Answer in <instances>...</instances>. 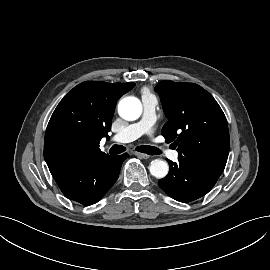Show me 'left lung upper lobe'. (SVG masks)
I'll use <instances>...</instances> for the list:
<instances>
[{"instance_id":"obj_1","label":"left lung upper lobe","mask_w":270,"mask_h":270,"mask_svg":"<svg viewBox=\"0 0 270 270\" xmlns=\"http://www.w3.org/2000/svg\"><path fill=\"white\" fill-rule=\"evenodd\" d=\"M167 123L162 135L179 156L225 168L229 154L226 117L213 96L194 83L161 81L157 87Z\"/></svg>"}]
</instances>
